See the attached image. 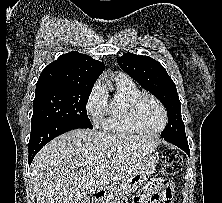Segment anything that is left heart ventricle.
I'll return each mask as SVG.
<instances>
[{
    "mask_svg": "<svg viewBox=\"0 0 222 203\" xmlns=\"http://www.w3.org/2000/svg\"><path fill=\"white\" fill-rule=\"evenodd\" d=\"M139 119L142 125L150 130L159 129L164 121L160 107L152 100H144L138 110Z\"/></svg>",
    "mask_w": 222,
    "mask_h": 203,
    "instance_id": "b2bd125f",
    "label": "left heart ventricle"
}]
</instances>
